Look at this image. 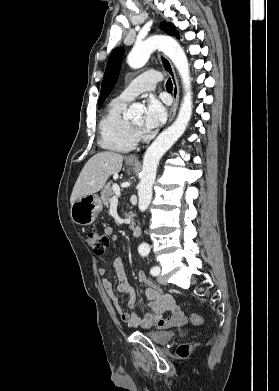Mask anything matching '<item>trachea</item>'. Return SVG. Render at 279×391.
Returning <instances> with one entry per match:
<instances>
[{
  "label": "trachea",
  "mask_w": 279,
  "mask_h": 391,
  "mask_svg": "<svg viewBox=\"0 0 279 391\" xmlns=\"http://www.w3.org/2000/svg\"><path fill=\"white\" fill-rule=\"evenodd\" d=\"M172 88H173V84H172L171 79L169 78V79L167 80V82H166V89H167V90H172Z\"/></svg>",
  "instance_id": "obj_1"
}]
</instances>
